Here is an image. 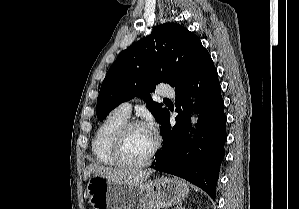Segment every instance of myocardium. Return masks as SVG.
<instances>
[{
	"mask_svg": "<svg viewBox=\"0 0 299 209\" xmlns=\"http://www.w3.org/2000/svg\"><path fill=\"white\" fill-rule=\"evenodd\" d=\"M137 127L146 128L149 130V127L144 122L138 120H129L126 121L115 133L112 143V155L118 166L130 169L143 168L148 166L157 155V152L160 148V141L155 135H153V147L143 161L133 163L124 158L123 146L125 137L130 130Z\"/></svg>",
	"mask_w": 299,
	"mask_h": 209,
	"instance_id": "f54148a6",
	"label": "myocardium"
}]
</instances>
